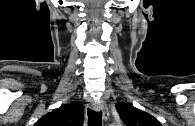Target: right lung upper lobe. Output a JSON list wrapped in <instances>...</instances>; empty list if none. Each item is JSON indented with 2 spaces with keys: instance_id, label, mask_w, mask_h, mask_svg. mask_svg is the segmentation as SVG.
Here are the masks:
<instances>
[{
  "instance_id": "right-lung-upper-lobe-1",
  "label": "right lung upper lobe",
  "mask_w": 195,
  "mask_h": 126,
  "mask_svg": "<svg viewBox=\"0 0 195 126\" xmlns=\"http://www.w3.org/2000/svg\"><path fill=\"white\" fill-rule=\"evenodd\" d=\"M84 106L77 102L61 106L42 116L34 126H81Z\"/></svg>"
}]
</instances>
